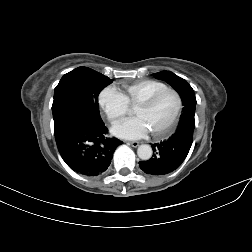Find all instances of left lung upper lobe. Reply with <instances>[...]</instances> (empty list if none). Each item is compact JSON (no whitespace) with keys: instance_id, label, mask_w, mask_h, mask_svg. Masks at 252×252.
I'll return each mask as SVG.
<instances>
[{"instance_id":"1","label":"left lung upper lobe","mask_w":252,"mask_h":252,"mask_svg":"<svg viewBox=\"0 0 252 252\" xmlns=\"http://www.w3.org/2000/svg\"><path fill=\"white\" fill-rule=\"evenodd\" d=\"M154 76L157 79L166 81L179 93V95L181 96V99L183 101V105H184L181 117L183 115H188L186 113L187 109L185 107L187 106V104H190L193 102L196 103L194 90L188 84V82L170 71L158 72V73H155ZM194 115H195V112L192 113L193 117H194Z\"/></svg>"}]
</instances>
